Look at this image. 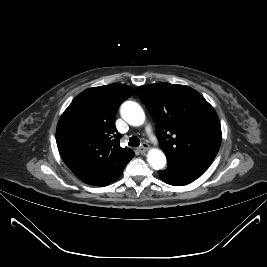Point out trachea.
Returning <instances> with one entry per match:
<instances>
[{"instance_id":"obj_1","label":"trachea","mask_w":267,"mask_h":267,"mask_svg":"<svg viewBox=\"0 0 267 267\" xmlns=\"http://www.w3.org/2000/svg\"><path fill=\"white\" fill-rule=\"evenodd\" d=\"M129 146H133V147H137L140 145V140L138 137L136 136H132L129 138V142H128Z\"/></svg>"}]
</instances>
